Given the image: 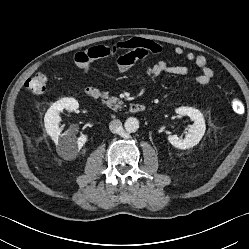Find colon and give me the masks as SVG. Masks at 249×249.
<instances>
[{
	"instance_id": "colon-1",
	"label": "colon",
	"mask_w": 249,
	"mask_h": 249,
	"mask_svg": "<svg viewBox=\"0 0 249 249\" xmlns=\"http://www.w3.org/2000/svg\"><path fill=\"white\" fill-rule=\"evenodd\" d=\"M114 51H111L113 54ZM47 85V76L43 73H38L27 80L26 88L33 94L44 93ZM230 106L235 114H242L244 112V103L240 98L234 97L231 99Z\"/></svg>"
}]
</instances>
